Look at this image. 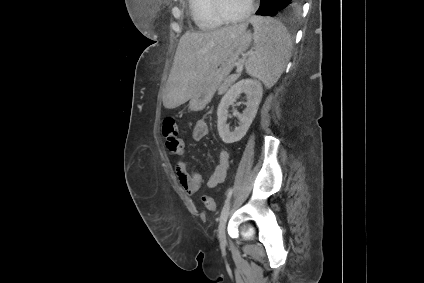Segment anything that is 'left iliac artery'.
I'll return each instance as SVG.
<instances>
[{
  "instance_id": "obj_1",
  "label": "left iliac artery",
  "mask_w": 424,
  "mask_h": 283,
  "mask_svg": "<svg viewBox=\"0 0 424 283\" xmlns=\"http://www.w3.org/2000/svg\"><path fill=\"white\" fill-rule=\"evenodd\" d=\"M232 192H233V189L232 188H230L229 190H228V193H227V198H226V201H225V203H227L229 200H230V198H231V195H232Z\"/></svg>"
}]
</instances>
